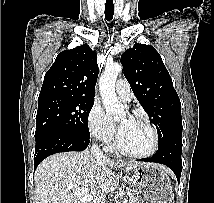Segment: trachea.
I'll return each mask as SVG.
<instances>
[{
	"mask_svg": "<svg viewBox=\"0 0 214 203\" xmlns=\"http://www.w3.org/2000/svg\"><path fill=\"white\" fill-rule=\"evenodd\" d=\"M114 15V5L113 3L105 5V18L107 21H111Z\"/></svg>",
	"mask_w": 214,
	"mask_h": 203,
	"instance_id": "1",
	"label": "trachea"
}]
</instances>
